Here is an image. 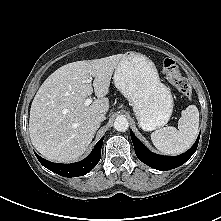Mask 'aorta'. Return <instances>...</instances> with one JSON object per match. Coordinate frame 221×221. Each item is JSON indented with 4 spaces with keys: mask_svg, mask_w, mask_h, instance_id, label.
I'll return each instance as SVG.
<instances>
[{
    "mask_svg": "<svg viewBox=\"0 0 221 221\" xmlns=\"http://www.w3.org/2000/svg\"><path fill=\"white\" fill-rule=\"evenodd\" d=\"M129 127V122L124 116H118L114 121V128L117 131L125 132Z\"/></svg>",
    "mask_w": 221,
    "mask_h": 221,
    "instance_id": "aorta-1",
    "label": "aorta"
}]
</instances>
